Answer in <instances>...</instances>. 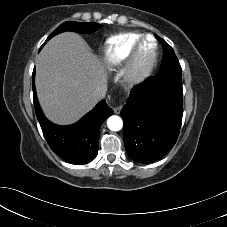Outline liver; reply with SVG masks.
I'll return each mask as SVG.
<instances>
[{
	"label": "liver",
	"instance_id": "6515ba94",
	"mask_svg": "<svg viewBox=\"0 0 227 227\" xmlns=\"http://www.w3.org/2000/svg\"><path fill=\"white\" fill-rule=\"evenodd\" d=\"M104 84V65L76 33L53 37L36 59L38 100L54 123L66 125L79 120L95 106L92 93Z\"/></svg>",
	"mask_w": 227,
	"mask_h": 227
}]
</instances>
